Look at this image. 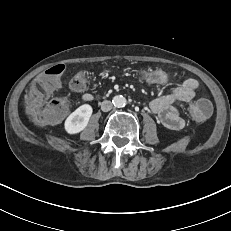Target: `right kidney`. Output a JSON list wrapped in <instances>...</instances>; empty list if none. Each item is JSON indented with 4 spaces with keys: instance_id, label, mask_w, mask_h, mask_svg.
<instances>
[{
    "instance_id": "right-kidney-1",
    "label": "right kidney",
    "mask_w": 231,
    "mask_h": 231,
    "mask_svg": "<svg viewBox=\"0 0 231 231\" xmlns=\"http://www.w3.org/2000/svg\"><path fill=\"white\" fill-rule=\"evenodd\" d=\"M93 109L84 104L72 112L65 120L64 128L68 134H77L85 129L92 115Z\"/></svg>"
}]
</instances>
